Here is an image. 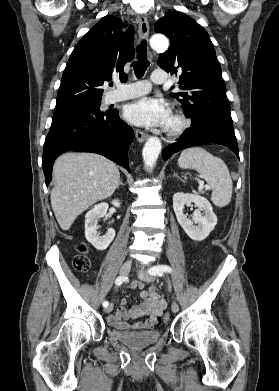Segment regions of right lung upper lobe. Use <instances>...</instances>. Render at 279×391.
<instances>
[{"label": "right lung upper lobe", "mask_w": 279, "mask_h": 391, "mask_svg": "<svg viewBox=\"0 0 279 391\" xmlns=\"http://www.w3.org/2000/svg\"><path fill=\"white\" fill-rule=\"evenodd\" d=\"M124 25H127L125 23ZM134 31L121 32L120 20L105 16L77 43L64 70L55 110L102 99L112 75L127 79L123 68L133 58Z\"/></svg>", "instance_id": "right-lung-upper-lobe-1"}]
</instances>
